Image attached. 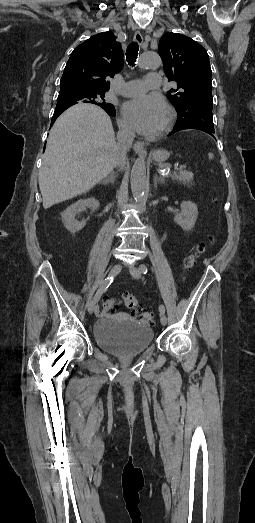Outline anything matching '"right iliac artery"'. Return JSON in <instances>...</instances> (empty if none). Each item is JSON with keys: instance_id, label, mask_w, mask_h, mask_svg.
<instances>
[{"instance_id": "1", "label": "right iliac artery", "mask_w": 255, "mask_h": 523, "mask_svg": "<svg viewBox=\"0 0 255 523\" xmlns=\"http://www.w3.org/2000/svg\"><path fill=\"white\" fill-rule=\"evenodd\" d=\"M113 279H114L113 276H109L105 280H103L98 291L96 292V294L94 296V299L96 302L100 299L102 293L105 292L107 290V288L110 286V284L113 282Z\"/></svg>"}]
</instances>
